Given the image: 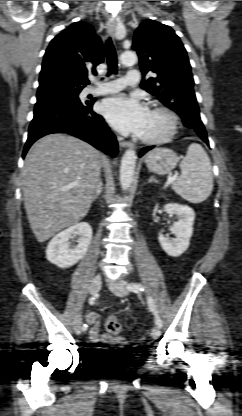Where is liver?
<instances>
[{
  "instance_id": "obj_1",
  "label": "liver",
  "mask_w": 242,
  "mask_h": 416,
  "mask_svg": "<svg viewBox=\"0 0 242 416\" xmlns=\"http://www.w3.org/2000/svg\"><path fill=\"white\" fill-rule=\"evenodd\" d=\"M102 159L93 146L66 134H49L33 144L23 167V196L38 242L86 216Z\"/></svg>"
}]
</instances>
